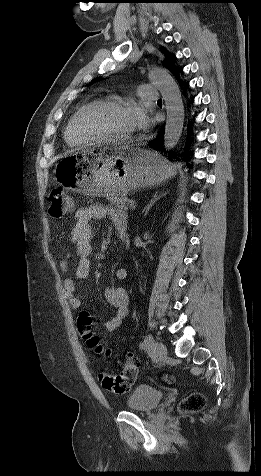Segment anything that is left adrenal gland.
I'll return each mask as SVG.
<instances>
[{
	"instance_id": "1",
	"label": "left adrenal gland",
	"mask_w": 261,
	"mask_h": 476,
	"mask_svg": "<svg viewBox=\"0 0 261 476\" xmlns=\"http://www.w3.org/2000/svg\"><path fill=\"white\" fill-rule=\"evenodd\" d=\"M166 195V192L165 193H160L158 195V192H155V194L153 195V198L150 200V202L144 207L143 209V213H144V216H146L150 210V208L160 199L162 198L163 196Z\"/></svg>"
}]
</instances>
